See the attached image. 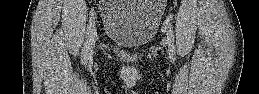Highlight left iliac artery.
Wrapping results in <instances>:
<instances>
[{
  "label": "left iliac artery",
  "mask_w": 259,
  "mask_h": 94,
  "mask_svg": "<svg viewBox=\"0 0 259 94\" xmlns=\"http://www.w3.org/2000/svg\"><path fill=\"white\" fill-rule=\"evenodd\" d=\"M166 29H167V41L169 47V56L172 61L175 60V45H174V35H173V27L171 24V20L167 18L166 20Z\"/></svg>",
  "instance_id": "1"
}]
</instances>
